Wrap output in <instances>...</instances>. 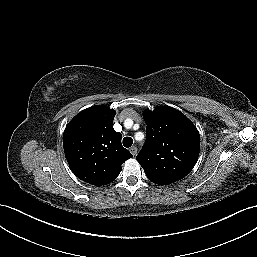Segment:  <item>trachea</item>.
<instances>
[{
	"mask_svg": "<svg viewBox=\"0 0 257 257\" xmlns=\"http://www.w3.org/2000/svg\"><path fill=\"white\" fill-rule=\"evenodd\" d=\"M133 144V139L131 137H125L123 139V146L126 147V148H129L131 147Z\"/></svg>",
	"mask_w": 257,
	"mask_h": 257,
	"instance_id": "3493384b",
	"label": "trachea"
}]
</instances>
